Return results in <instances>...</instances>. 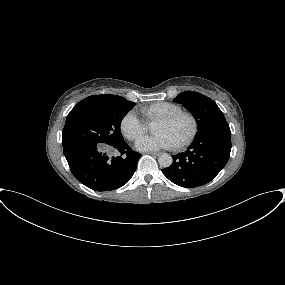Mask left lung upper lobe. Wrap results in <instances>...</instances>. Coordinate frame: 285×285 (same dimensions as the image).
Masks as SVG:
<instances>
[{"mask_svg": "<svg viewBox=\"0 0 285 285\" xmlns=\"http://www.w3.org/2000/svg\"><path fill=\"white\" fill-rule=\"evenodd\" d=\"M174 101L181 103L192 113L197 122V134L212 129L230 130L222 111L209 97L198 92L185 91Z\"/></svg>", "mask_w": 285, "mask_h": 285, "instance_id": "obj_1", "label": "left lung upper lobe"}]
</instances>
